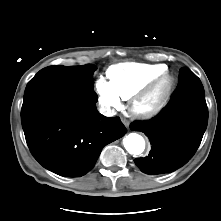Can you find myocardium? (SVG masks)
Instances as JSON below:
<instances>
[{"instance_id": "obj_1", "label": "myocardium", "mask_w": 221, "mask_h": 221, "mask_svg": "<svg viewBox=\"0 0 221 221\" xmlns=\"http://www.w3.org/2000/svg\"><path fill=\"white\" fill-rule=\"evenodd\" d=\"M174 85V77L168 71L163 72L144 89L130 98V112L139 118H151L157 115L162 111L169 100ZM157 92H160V94L156 102L150 107H145L144 103Z\"/></svg>"}]
</instances>
